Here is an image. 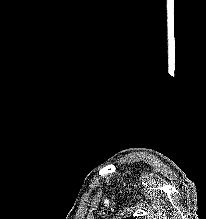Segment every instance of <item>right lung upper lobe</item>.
<instances>
[{"mask_svg":"<svg viewBox=\"0 0 206 219\" xmlns=\"http://www.w3.org/2000/svg\"><path fill=\"white\" fill-rule=\"evenodd\" d=\"M125 219H136V218H133V217H129V218H125Z\"/></svg>","mask_w":206,"mask_h":219,"instance_id":"1","label":"right lung upper lobe"}]
</instances>
